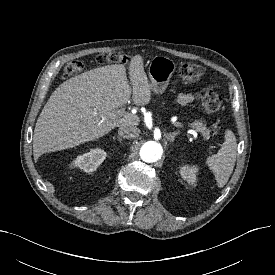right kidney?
<instances>
[{
    "instance_id": "1",
    "label": "right kidney",
    "mask_w": 275,
    "mask_h": 275,
    "mask_svg": "<svg viewBox=\"0 0 275 275\" xmlns=\"http://www.w3.org/2000/svg\"><path fill=\"white\" fill-rule=\"evenodd\" d=\"M106 152L100 148L92 149L83 155L78 156L73 164L85 172H93L105 160Z\"/></svg>"
}]
</instances>
